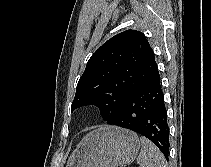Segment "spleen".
<instances>
[{
	"mask_svg": "<svg viewBox=\"0 0 211 167\" xmlns=\"http://www.w3.org/2000/svg\"><path fill=\"white\" fill-rule=\"evenodd\" d=\"M141 152L137 158L140 167H167V162L160 150L147 138L141 137Z\"/></svg>",
	"mask_w": 211,
	"mask_h": 167,
	"instance_id": "spleen-1",
	"label": "spleen"
}]
</instances>
